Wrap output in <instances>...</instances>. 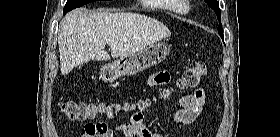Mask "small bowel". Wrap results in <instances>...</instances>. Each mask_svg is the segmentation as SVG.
<instances>
[{
  "instance_id": "obj_1",
  "label": "small bowel",
  "mask_w": 280,
  "mask_h": 137,
  "mask_svg": "<svg viewBox=\"0 0 280 137\" xmlns=\"http://www.w3.org/2000/svg\"><path fill=\"white\" fill-rule=\"evenodd\" d=\"M170 82V75L167 72H158L149 76L150 86L164 85ZM206 99V91L198 87L190 95L181 97L178 101L179 109L172 116V124H190L199 118ZM109 121L114 120L112 112L107 113ZM116 132L132 134L133 137H163V135L152 131L144 123L142 112H135L131 115L130 121L119 124L115 129L110 128L106 122L87 123L84 126L82 137H115Z\"/></svg>"
}]
</instances>
